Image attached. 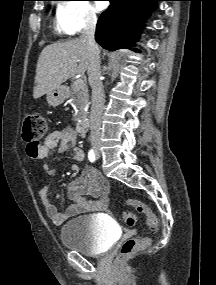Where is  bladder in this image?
I'll return each mask as SVG.
<instances>
[{"label":"bladder","instance_id":"1","mask_svg":"<svg viewBox=\"0 0 216 285\" xmlns=\"http://www.w3.org/2000/svg\"><path fill=\"white\" fill-rule=\"evenodd\" d=\"M117 237V229L99 216L84 215L66 222L60 231L62 244L85 255L106 252Z\"/></svg>","mask_w":216,"mask_h":285}]
</instances>
